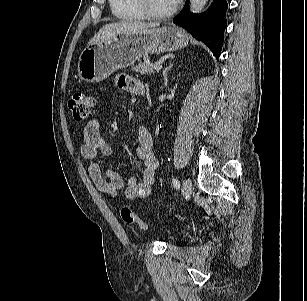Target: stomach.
I'll list each match as a JSON object with an SVG mask.
<instances>
[{
  "label": "stomach",
  "mask_w": 307,
  "mask_h": 301,
  "mask_svg": "<svg viewBox=\"0 0 307 301\" xmlns=\"http://www.w3.org/2000/svg\"><path fill=\"white\" fill-rule=\"evenodd\" d=\"M188 41L182 29L170 26L120 33L86 47L79 57L78 74L86 82H101L142 56L182 49Z\"/></svg>",
  "instance_id": "0dacf381"
}]
</instances>
